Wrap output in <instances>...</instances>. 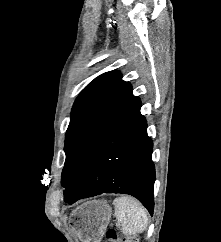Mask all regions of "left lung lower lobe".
<instances>
[{
  "label": "left lung lower lobe",
  "mask_w": 221,
  "mask_h": 242,
  "mask_svg": "<svg viewBox=\"0 0 221 242\" xmlns=\"http://www.w3.org/2000/svg\"><path fill=\"white\" fill-rule=\"evenodd\" d=\"M140 108L141 102L89 151L65 189L66 203L102 193H123L136 197L153 214V143L147 136V123Z\"/></svg>",
  "instance_id": "1"
}]
</instances>
